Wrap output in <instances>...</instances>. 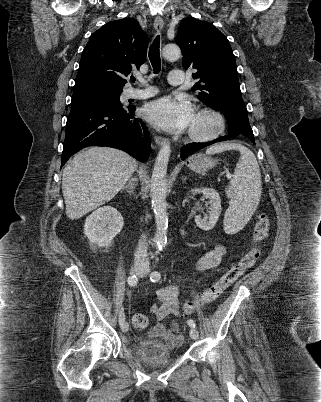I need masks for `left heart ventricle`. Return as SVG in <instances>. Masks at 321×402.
<instances>
[{
    "label": "left heart ventricle",
    "instance_id": "b2bd125f",
    "mask_svg": "<svg viewBox=\"0 0 321 402\" xmlns=\"http://www.w3.org/2000/svg\"><path fill=\"white\" fill-rule=\"evenodd\" d=\"M215 126L212 117L203 114L194 113L193 118L189 124L188 130H193L199 133L210 132Z\"/></svg>",
    "mask_w": 321,
    "mask_h": 402
}]
</instances>
